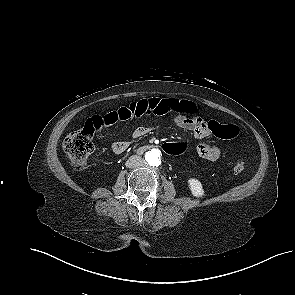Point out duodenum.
Returning a JSON list of instances; mask_svg holds the SVG:
<instances>
[{
  "instance_id": "obj_1",
  "label": "duodenum",
  "mask_w": 295,
  "mask_h": 295,
  "mask_svg": "<svg viewBox=\"0 0 295 295\" xmlns=\"http://www.w3.org/2000/svg\"><path fill=\"white\" fill-rule=\"evenodd\" d=\"M152 146H143V147H140L139 148V152H143V151H145V150H147V149H149V148H151Z\"/></svg>"
}]
</instances>
